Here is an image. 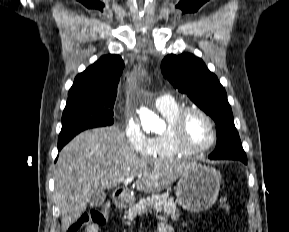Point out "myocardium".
<instances>
[{"label": "myocardium", "instance_id": "f54148a6", "mask_svg": "<svg viewBox=\"0 0 289 232\" xmlns=\"http://www.w3.org/2000/svg\"><path fill=\"white\" fill-rule=\"evenodd\" d=\"M191 112H196L198 114H200L209 124L210 129H211V139L210 141L202 146H194L192 144H190L185 136V121H186V117L188 116V114H190ZM171 131L173 134V137L175 139V141L177 142V144L183 148L184 150L190 152V153H201L204 152L206 150H208L209 148H211L214 143L217 140V129H216V125L214 120L212 119V117L202 108L198 107V106H185L182 107L178 113L176 114L172 124H171Z\"/></svg>", "mask_w": 289, "mask_h": 232}]
</instances>
